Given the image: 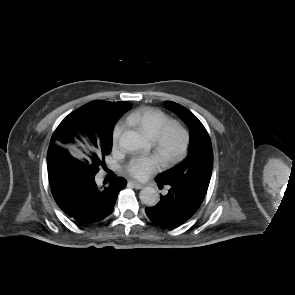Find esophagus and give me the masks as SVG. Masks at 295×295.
Segmentation results:
<instances>
[{
	"label": "esophagus",
	"instance_id": "1",
	"mask_svg": "<svg viewBox=\"0 0 295 295\" xmlns=\"http://www.w3.org/2000/svg\"><path fill=\"white\" fill-rule=\"evenodd\" d=\"M130 182L132 183V185H133L136 189H142V188L144 187L143 184H140V183H138V182H136V181H134V180H131Z\"/></svg>",
	"mask_w": 295,
	"mask_h": 295
}]
</instances>
